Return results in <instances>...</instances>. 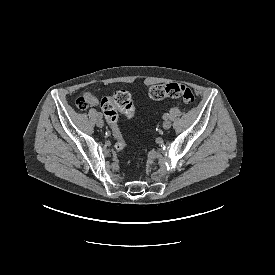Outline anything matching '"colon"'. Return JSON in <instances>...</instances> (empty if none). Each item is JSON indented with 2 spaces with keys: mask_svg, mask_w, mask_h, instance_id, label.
I'll list each match as a JSON object with an SVG mask.
<instances>
[{
  "mask_svg": "<svg viewBox=\"0 0 275 275\" xmlns=\"http://www.w3.org/2000/svg\"><path fill=\"white\" fill-rule=\"evenodd\" d=\"M148 95L154 100L181 98L186 104L191 105L194 103L192 90L186 85L177 82L154 85L149 89ZM78 103L81 109H85L87 106L85 98H80ZM100 107L109 125L112 138L115 141V149L118 152L124 151L126 143L119 132L117 122L119 112L123 113L128 119H133L136 115L135 104L130 94L125 90L117 91L113 97L104 98L101 101Z\"/></svg>",
  "mask_w": 275,
  "mask_h": 275,
  "instance_id": "colon-1",
  "label": "colon"
}]
</instances>
